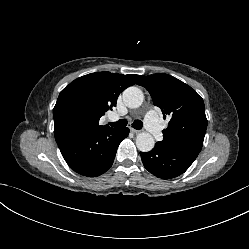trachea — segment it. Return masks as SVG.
Instances as JSON below:
<instances>
[{
    "instance_id": "1",
    "label": "trachea",
    "mask_w": 249,
    "mask_h": 249,
    "mask_svg": "<svg viewBox=\"0 0 249 249\" xmlns=\"http://www.w3.org/2000/svg\"><path fill=\"white\" fill-rule=\"evenodd\" d=\"M110 126L115 127V128H122L125 127L127 125V121L125 119L123 120H119L117 122H112L109 123ZM134 129H141L143 127V123L141 120H135L134 123L132 124Z\"/></svg>"
}]
</instances>
